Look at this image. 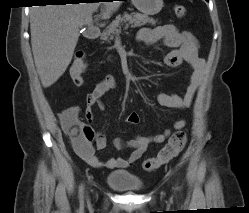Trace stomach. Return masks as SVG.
<instances>
[{"mask_svg":"<svg viewBox=\"0 0 249 213\" xmlns=\"http://www.w3.org/2000/svg\"><path fill=\"white\" fill-rule=\"evenodd\" d=\"M132 3L145 15H155L163 7V0H132Z\"/></svg>","mask_w":249,"mask_h":213,"instance_id":"1","label":"stomach"}]
</instances>
